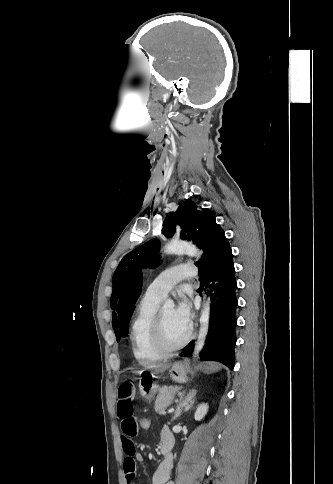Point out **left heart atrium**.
<instances>
[{
	"label": "left heart atrium",
	"mask_w": 333,
	"mask_h": 484,
	"mask_svg": "<svg viewBox=\"0 0 333 484\" xmlns=\"http://www.w3.org/2000/svg\"><path fill=\"white\" fill-rule=\"evenodd\" d=\"M174 313L180 323L189 329L191 326L192 316L191 305L189 301L181 297L176 308L174 309Z\"/></svg>",
	"instance_id": "obj_1"
}]
</instances>
